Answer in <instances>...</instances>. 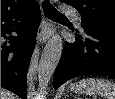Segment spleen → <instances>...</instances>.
<instances>
[{
  "instance_id": "3e777b00",
  "label": "spleen",
  "mask_w": 115,
  "mask_h": 99,
  "mask_svg": "<svg viewBox=\"0 0 115 99\" xmlns=\"http://www.w3.org/2000/svg\"><path fill=\"white\" fill-rule=\"evenodd\" d=\"M79 87L86 90V94H99L106 99H115V83L103 78H88L80 80Z\"/></svg>"
}]
</instances>
